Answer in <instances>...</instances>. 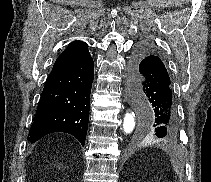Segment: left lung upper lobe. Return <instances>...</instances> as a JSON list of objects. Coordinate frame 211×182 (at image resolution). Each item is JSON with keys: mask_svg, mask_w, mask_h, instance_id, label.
I'll return each instance as SVG.
<instances>
[{"mask_svg": "<svg viewBox=\"0 0 211 182\" xmlns=\"http://www.w3.org/2000/svg\"><path fill=\"white\" fill-rule=\"evenodd\" d=\"M151 132L150 128H146V133Z\"/></svg>", "mask_w": 211, "mask_h": 182, "instance_id": "5c2ea615", "label": "left lung upper lobe"}]
</instances>
